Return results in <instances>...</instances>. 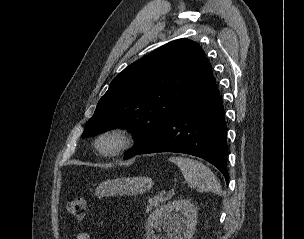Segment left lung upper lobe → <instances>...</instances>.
<instances>
[{
  "label": "left lung upper lobe",
  "instance_id": "obj_1",
  "mask_svg": "<svg viewBox=\"0 0 304 239\" xmlns=\"http://www.w3.org/2000/svg\"><path fill=\"white\" fill-rule=\"evenodd\" d=\"M211 76V64L197 43L189 39L169 42L113 79L82 138L114 128L130 129L136 147L128 155L163 129Z\"/></svg>",
  "mask_w": 304,
  "mask_h": 239
}]
</instances>
